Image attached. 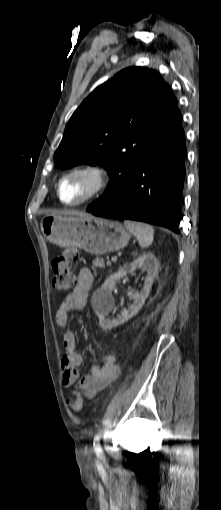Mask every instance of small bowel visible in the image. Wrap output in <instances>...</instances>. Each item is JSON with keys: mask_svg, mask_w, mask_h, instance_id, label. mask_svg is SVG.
Returning a JSON list of instances; mask_svg holds the SVG:
<instances>
[{"mask_svg": "<svg viewBox=\"0 0 221 510\" xmlns=\"http://www.w3.org/2000/svg\"><path fill=\"white\" fill-rule=\"evenodd\" d=\"M94 277L90 269L81 268L76 276L75 286L68 294L56 313V323L65 327L70 321V312L84 309ZM66 353L62 360L63 381L66 385L78 383L79 389L88 397L112 384L119 375V367L112 354L98 357L97 363L92 365L88 374L79 377V369L83 358L77 351V337L72 331L64 335Z\"/></svg>", "mask_w": 221, "mask_h": 510, "instance_id": "1", "label": "small bowel"}]
</instances>
